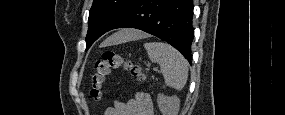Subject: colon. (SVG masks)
I'll use <instances>...</instances> for the list:
<instances>
[{"mask_svg":"<svg viewBox=\"0 0 285 115\" xmlns=\"http://www.w3.org/2000/svg\"><path fill=\"white\" fill-rule=\"evenodd\" d=\"M123 68L138 80L144 79V73L140 66L122 56L107 51L102 59L95 63L94 72L90 79L89 95L92 100L99 102L103 97V86L113 70Z\"/></svg>","mask_w":285,"mask_h":115,"instance_id":"1","label":"colon"}]
</instances>
